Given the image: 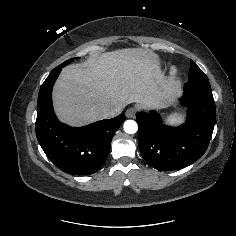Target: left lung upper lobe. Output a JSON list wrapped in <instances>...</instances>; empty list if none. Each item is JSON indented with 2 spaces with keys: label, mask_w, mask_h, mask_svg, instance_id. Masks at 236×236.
<instances>
[{
  "label": "left lung upper lobe",
  "mask_w": 236,
  "mask_h": 236,
  "mask_svg": "<svg viewBox=\"0 0 236 236\" xmlns=\"http://www.w3.org/2000/svg\"><path fill=\"white\" fill-rule=\"evenodd\" d=\"M191 64V72L188 77V81H195V80H206L208 79L207 76L203 73V71L197 66L194 61H190Z\"/></svg>",
  "instance_id": "obj_1"
}]
</instances>
